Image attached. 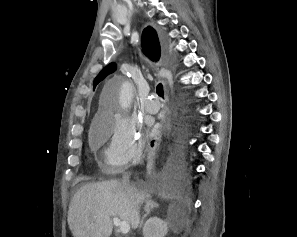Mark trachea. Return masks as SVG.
<instances>
[{
	"label": "trachea",
	"instance_id": "trachea-1",
	"mask_svg": "<svg viewBox=\"0 0 297 237\" xmlns=\"http://www.w3.org/2000/svg\"><path fill=\"white\" fill-rule=\"evenodd\" d=\"M156 92L160 97L164 96V90H163V85L159 83L156 87Z\"/></svg>",
	"mask_w": 297,
	"mask_h": 237
}]
</instances>
